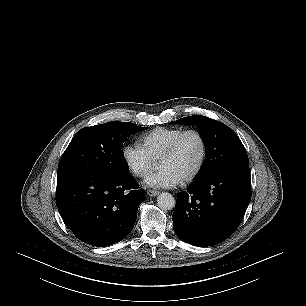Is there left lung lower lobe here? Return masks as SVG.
<instances>
[{"mask_svg":"<svg viewBox=\"0 0 306 306\" xmlns=\"http://www.w3.org/2000/svg\"><path fill=\"white\" fill-rule=\"evenodd\" d=\"M249 167H234L195 179L179 193L173 229L183 241L213 246L232 235L251 199Z\"/></svg>","mask_w":306,"mask_h":306,"instance_id":"left-lung-lower-lobe-1","label":"left lung lower lobe"}]
</instances>
